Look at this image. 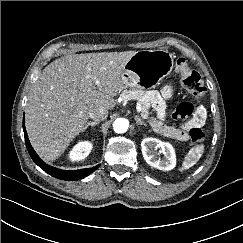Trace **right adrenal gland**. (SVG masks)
<instances>
[{
  "instance_id": "1",
  "label": "right adrenal gland",
  "mask_w": 243,
  "mask_h": 243,
  "mask_svg": "<svg viewBox=\"0 0 243 243\" xmlns=\"http://www.w3.org/2000/svg\"><path fill=\"white\" fill-rule=\"evenodd\" d=\"M97 124H99V122H97V121H90V122H88V123L86 124V126H85L84 131H85L89 126H91V127H95Z\"/></svg>"
}]
</instances>
